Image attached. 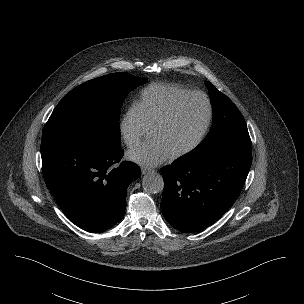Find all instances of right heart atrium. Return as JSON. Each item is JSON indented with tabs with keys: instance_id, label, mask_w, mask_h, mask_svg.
<instances>
[{
	"instance_id": "obj_1",
	"label": "right heart atrium",
	"mask_w": 304,
	"mask_h": 304,
	"mask_svg": "<svg viewBox=\"0 0 304 304\" xmlns=\"http://www.w3.org/2000/svg\"><path fill=\"white\" fill-rule=\"evenodd\" d=\"M149 127L136 102L124 112L119 121V133L128 147H134L148 133Z\"/></svg>"
}]
</instances>
